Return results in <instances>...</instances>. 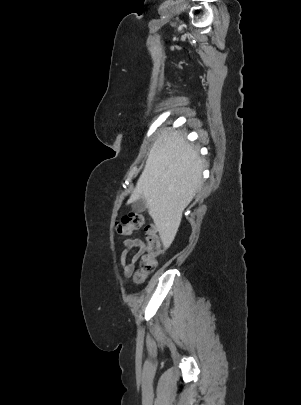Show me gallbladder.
Instances as JSON below:
<instances>
[{
  "instance_id": "bac80fb5",
  "label": "gallbladder",
  "mask_w": 301,
  "mask_h": 405,
  "mask_svg": "<svg viewBox=\"0 0 301 405\" xmlns=\"http://www.w3.org/2000/svg\"><path fill=\"white\" fill-rule=\"evenodd\" d=\"M131 207L136 213L144 212L147 209L146 200L144 198H139L132 203Z\"/></svg>"
}]
</instances>
